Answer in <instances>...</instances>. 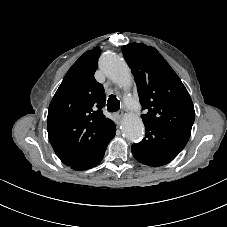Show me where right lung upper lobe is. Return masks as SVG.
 <instances>
[{"instance_id":"cb5924a9","label":"right lung upper lobe","mask_w":227,"mask_h":227,"mask_svg":"<svg viewBox=\"0 0 227 227\" xmlns=\"http://www.w3.org/2000/svg\"><path fill=\"white\" fill-rule=\"evenodd\" d=\"M100 53L94 47L72 65L49 105V140L66 166L95 156L114 124L103 115L104 89L94 78Z\"/></svg>"}]
</instances>
